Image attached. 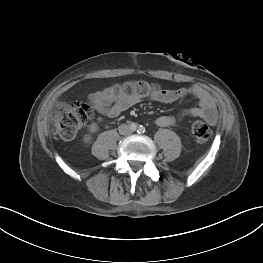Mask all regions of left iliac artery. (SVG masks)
<instances>
[{
    "label": "left iliac artery",
    "instance_id": "left-iliac-artery-1",
    "mask_svg": "<svg viewBox=\"0 0 263 263\" xmlns=\"http://www.w3.org/2000/svg\"><path fill=\"white\" fill-rule=\"evenodd\" d=\"M137 132H138L139 134H143V133L145 132V127L142 126V125H140V126L138 127Z\"/></svg>",
    "mask_w": 263,
    "mask_h": 263
}]
</instances>
